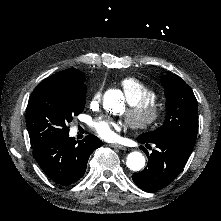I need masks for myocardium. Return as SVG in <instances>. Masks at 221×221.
<instances>
[{"instance_id": "f54148a6", "label": "myocardium", "mask_w": 221, "mask_h": 221, "mask_svg": "<svg viewBox=\"0 0 221 221\" xmlns=\"http://www.w3.org/2000/svg\"><path fill=\"white\" fill-rule=\"evenodd\" d=\"M167 117V106L148 107L141 110L136 108L129 114L128 125L132 131H150L161 126Z\"/></svg>"}]
</instances>
